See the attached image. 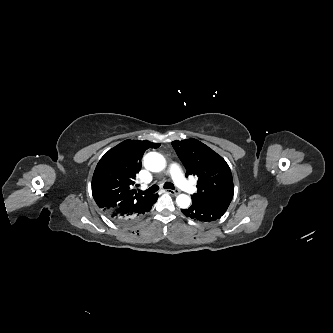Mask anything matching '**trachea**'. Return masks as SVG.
I'll return each mask as SVG.
<instances>
[{"label":"trachea","instance_id":"1","mask_svg":"<svg viewBox=\"0 0 333 333\" xmlns=\"http://www.w3.org/2000/svg\"><path fill=\"white\" fill-rule=\"evenodd\" d=\"M164 188L166 189H174V185L171 182H166L164 184ZM159 190V187L157 185H152L149 189L145 190V191H139L140 194H151V193H155Z\"/></svg>","mask_w":333,"mask_h":333}]
</instances>
